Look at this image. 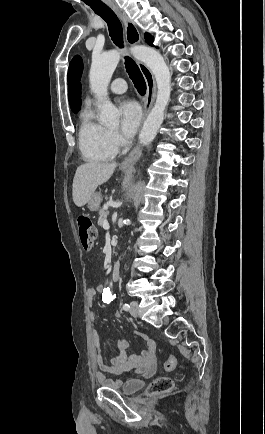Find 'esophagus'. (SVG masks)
Returning <instances> with one entry per match:
<instances>
[{
	"label": "esophagus",
	"instance_id": "1",
	"mask_svg": "<svg viewBox=\"0 0 265 434\" xmlns=\"http://www.w3.org/2000/svg\"><path fill=\"white\" fill-rule=\"evenodd\" d=\"M108 5L119 15L121 20L124 23L125 26V35H126V41L129 43V45L134 46L137 45L140 40L141 36L137 29V27L134 25L133 22L128 20L125 15H123L120 10H118L113 3H108ZM140 71L143 74V77L146 82V95L144 97V103H143V117L141 121V125L144 124L147 115L149 114L151 108L153 107V104L155 102L156 98V83L154 80V76L152 72L149 70V68L144 65L142 62H138ZM142 155V152L140 150L139 145H136L131 152L125 157L123 160L121 167H131Z\"/></svg>",
	"mask_w": 265,
	"mask_h": 434
}]
</instances>
